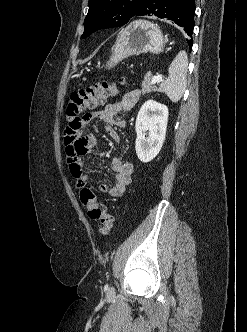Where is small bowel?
<instances>
[{
  "mask_svg": "<svg viewBox=\"0 0 247 332\" xmlns=\"http://www.w3.org/2000/svg\"><path fill=\"white\" fill-rule=\"evenodd\" d=\"M138 98L139 92L136 90L131 91L125 94L121 100L107 104L102 110L86 114L85 124L95 119L104 121L106 123V133L113 140L119 142L120 136L113 125H123L124 123L117 120L116 116L121 112H129L136 105ZM95 143L96 138L93 134H83L82 131L66 137V159L76 187L81 190L92 182L87 171L88 168L83 162L82 157L92 153ZM111 168L114 172L112 180L101 183L99 188L105 194L119 197L131 182L134 167L128 161H124L119 157H113Z\"/></svg>",
  "mask_w": 247,
  "mask_h": 332,
  "instance_id": "small-bowel-1",
  "label": "small bowel"
}]
</instances>
